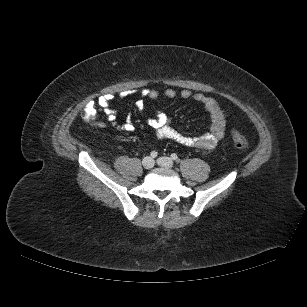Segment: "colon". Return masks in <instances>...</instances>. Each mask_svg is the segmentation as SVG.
<instances>
[{
    "label": "colon",
    "instance_id": "obj_1",
    "mask_svg": "<svg viewBox=\"0 0 307 307\" xmlns=\"http://www.w3.org/2000/svg\"><path fill=\"white\" fill-rule=\"evenodd\" d=\"M96 115V104L92 101L88 102L82 110L83 119L87 122H93L96 118ZM231 135L233 142L238 149L247 150L249 148L247 139L240 131H238L237 129H233Z\"/></svg>",
    "mask_w": 307,
    "mask_h": 307
}]
</instances>
